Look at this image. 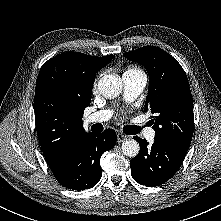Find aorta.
I'll list each match as a JSON object with an SVG mask.
<instances>
[{
  "label": "aorta",
  "instance_id": "aorta-1",
  "mask_svg": "<svg viewBox=\"0 0 221 221\" xmlns=\"http://www.w3.org/2000/svg\"><path fill=\"white\" fill-rule=\"evenodd\" d=\"M122 79L115 75H105L98 81V90L108 99H113L119 96L122 91ZM122 152L127 157H135L138 155L140 147L134 139L126 140L121 146Z\"/></svg>",
  "mask_w": 221,
  "mask_h": 221
}]
</instances>
